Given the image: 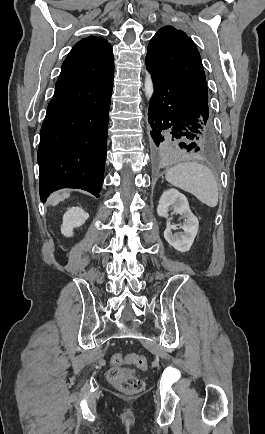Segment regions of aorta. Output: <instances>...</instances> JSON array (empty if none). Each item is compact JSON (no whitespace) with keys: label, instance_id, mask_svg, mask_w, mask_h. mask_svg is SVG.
Here are the masks:
<instances>
[{"label":"aorta","instance_id":"aorta-1","mask_svg":"<svg viewBox=\"0 0 265 434\" xmlns=\"http://www.w3.org/2000/svg\"><path fill=\"white\" fill-rule=\"evenodd\" d=\"M144 92L147 100H151L154 92V86H153L151 74H149V72H146Z\"/></svg>","mask_w":265,"mask_h":434}]
</instances>
